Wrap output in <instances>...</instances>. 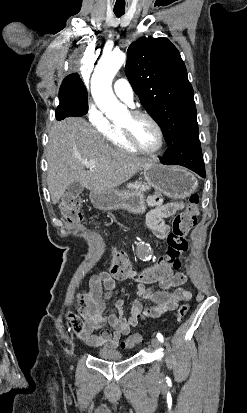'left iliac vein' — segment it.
I'll return each mask as SVG.
<instances>
[{"mask_svg":"<svg viewBox=\"0 0 247 413\" xmlns=\"http://www.w3.org/2000/svg\"><path fill=\"white\" fill-rule=\"evenodd\" d=\"M150 343H151L152 347H153L155 350H158V349L160 348V342L158 341V339L152 337V338L150 339Z\"/></svg>","mask_w":247,"mask_h":413,"instance_id":"left-iliac-vein-1","label":"left iliac vein"}]
</instances>
